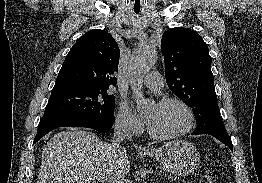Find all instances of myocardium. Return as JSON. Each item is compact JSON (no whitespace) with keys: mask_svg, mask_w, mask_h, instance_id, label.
Segmentation results:
<instances>
[{"mask_svg":"<svg viewBox=\"0 0 262 183\" xmlns=\"http://www.w3.org/2000/svg\"><path fill=\"white\" fill-rule=\"evenodd\" d=\"M170 103H176L178 105H180L181 107H183L185 109V111L188 114V125L181 131L174 133V134H170V135H160L155 133L149 125H147V132L150 135V137H152L153 139L159 140V141H169V140H174L177 138H180L184 135H186L187 133H189L195 124V114L193 109L191 108V106L186 103L184 100L177 98V97H165L162 98L161 100H159V102L157 104L159 105H166V104H170Z\"/></svg>","mask_w":262,"mask_h":183,"instance_id":"f54148a6","label":"myocardium"}]
</instances>
